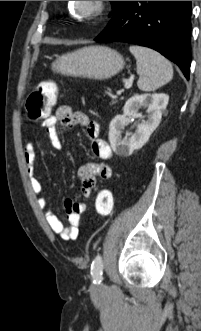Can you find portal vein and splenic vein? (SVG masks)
Wrapping results in <instances>:
<instances>
[{
	"label": "portal vein and splenic vein",
	"instance_id": "18ae733b",
	"mask_svg": "<svg viewBox=\"0 0 201 331\" xmlns=\"http://www.w3.org/2000/svg\"><path fill=\"white\" fill-rule=\"evenodd\" d=\"M133 83V78H129L128 80H125V88H130L132 86ZM121 91H118L117 94H120Z\"/></svg>",
	"mask_w": 201,
	"mask_h": 331
}]
</instances>
